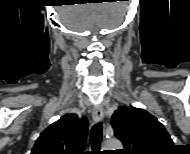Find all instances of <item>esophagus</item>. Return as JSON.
<instances>
[{"label":"esophagus","instance_id":"esophagus-1","mask_svg":"<svg viewBox=\"0 0 190 154\" xmlns=\"http://www.w3.org/2000/svg\"><path fill=\"white\" fill-rule=\"evenodd\" d=\"M103 117H104L103 107L101 105L95 107L92 111L93 121L98 123L102 121Z\"/></svg>","mask_w":190,"mask_h":154}]
</instances>
